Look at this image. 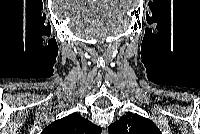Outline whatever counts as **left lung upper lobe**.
<instances>
[{"mask_svg":"<svg viewBox=\"0 0 200 134\" xmlns=\"http://www.w3.org/2000/svg\"><path fill=\"white\" fill-rule=\"evenodd\" d=\"M109 134H161L149 119L133 113H127L108 127Z\"/></svg>","mask_w":200,"mask_h":134,"instance_id":"obj_1","label":"left lung upper lobe"}]
</instances>
